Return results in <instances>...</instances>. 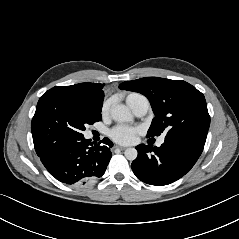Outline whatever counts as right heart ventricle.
I'll return each instance as SVG.
<instances>
[{"mask_svg": "<svg viewBox=\"0 0 239 239\" xmlns=\"http://www.w3.org/2000/svg\"><path fill=\"white\" fill-rule=\"evenodd\" d=\"M142 95L138 94V93H130L128 94V96L126 97V102L127 104L132 108L134 105L135 100L140 97Z\"/></svg>", "mask_w": 239, "mask_h": 239, "instance_id": "e07e8e85", "label": "right heart ventricle"}]
</instances>
